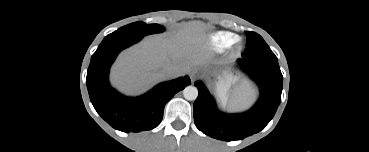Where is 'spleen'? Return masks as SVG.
Returning <instances> with one entry per match:
<instances>
[{"mask_svg":"<svg viewBox=\"0 0 369 152\" xmlns=\"http://www.w3.org/2000/svg\"><path fill=\"white\" fill-rule=\"evenodd\" d=\"M253 94L250 92L249 94H246L242 97H240L235 105V109H242L250 104L252 101Z\"/></svg>","mask_w":369,"mask_h":152,"instance_id":"obj_1","label":"spleen"}]
</instances>
